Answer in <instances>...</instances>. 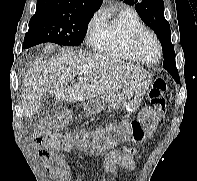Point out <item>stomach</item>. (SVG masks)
<instances>
[{
	"instance_id": "obj_1",
	"label": "stomach",
	"mask_w": 197,
	"mask_h": 181,
	"mask_svg": "<svg viewBox=\"0 0 197 181\" xmlns=\"http://www.w3.org/2000/svg\"><path fill=\"white\" fill-rule=\"evenodd\" d=\"M150 81L144 79L142 81L129 86L128 88L104 94L100 98L91 100L83 105L84 110L90 114L99 113L107 104L114 110L124 112H135L139 109L141 101L149 88Z\"/></svg>"
}]
</instances>
